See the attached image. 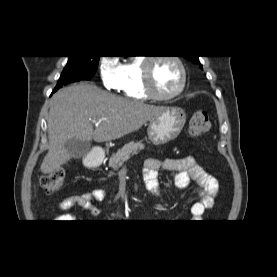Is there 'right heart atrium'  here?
Instances as JSON below:
<instances>
[{"mask_svg":"<svg viewBox=\"0 0 277 277\" xmlns=\"http://www.w3.org/2000/svg\"><path fill=\"white\" fill-rule=\"evenodd\" d=\"M99 74L102 85L107 90H120L122 84L121 66L109 56H103L99 60Z\"/></svg>","mask_w":277,"mask_h":277,"instance_id":"d8ad5b80","label":"right heart atrium"}]
</instances>
